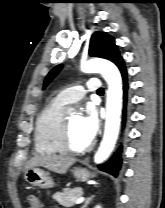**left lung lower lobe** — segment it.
Wrapping results in <instances>:
<instances>
[{
    "instance_id": "left-lung-lower-lobe-1",
    "label": "left lung lower lobe",
    "mask_w": 165,
    "mask_h": 208,
    "mask_svg": "<svg viewBox=\"0 0 165 208\" xmlns=\"http://www.w3.org/2000/svg\"><path fill=\"white\" fill-rule=\"evenodd\" d=\"M116 65L118 66L122 77H123V82H124V105L126 106L127 103V89H128V85H127V72H126V68H125V64L123 62V59L121 58ZM125 112L126 109L124 108V115H123V123H125ZM121 152H122V148L120 147L118 149V151L112 156V158L106 162L105 164L99 165V168L103 171H106L110 174H112L113 176H118L119 171L121 169V164H122V159H121Z\"/></svg>"
}]
</instances>
